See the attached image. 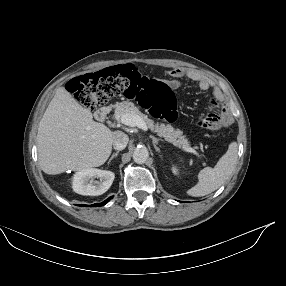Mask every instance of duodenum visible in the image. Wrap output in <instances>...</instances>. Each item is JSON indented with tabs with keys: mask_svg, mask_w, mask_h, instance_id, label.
Listing matches in <instances>:
<instances>
[{
	"mask_svg": "<svg viewBox=\"0 0 286 286\" xmlns=\"http://www.w3.org/2000/svg\"><path fill=\"white\" fill-rule=\"evenodd\" d=\"M111 112V107H102L96 111V117L98 120L105 122L107 115Z\"/></svg>",
	"mask_w": 286,
	"mask_h": 286,
	"instance_id": "410a0bca",
	"label": "duodenum"
}]
</instances>
